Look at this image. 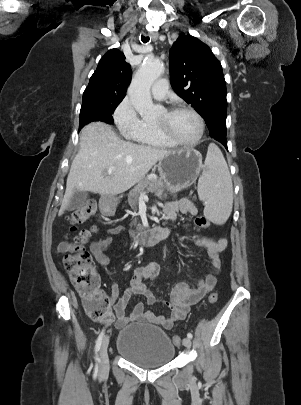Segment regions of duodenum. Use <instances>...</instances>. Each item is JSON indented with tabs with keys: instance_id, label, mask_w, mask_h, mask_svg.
Segmentation results:
<instances>
[{
	"instance_id": "410a0bca",
	"label": "duodenum",
	"mask_w": 301,
	"mask_h": 405,
	"mask_svg": "<svg viewBox=\"0 0 301 405\" xmlns=\"http://www.w3.org/2000/svg\"><path fill=\"white\" fill-rule=\"evenodd\" d=\"M107 197L100 199L99 206L103 213V217L105 219H112L114 217V213L116 211V199L113 198L114 195H118L117 193L114 194L113 191L107 192ZM171 233V227L169 226H158L152 228L150 230L144 231L139 233L135 240L143 246L153 245L160 240L166 238Z\"/></svg>"
}]
</instances>
